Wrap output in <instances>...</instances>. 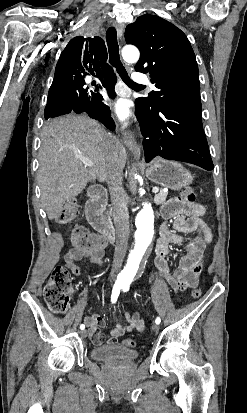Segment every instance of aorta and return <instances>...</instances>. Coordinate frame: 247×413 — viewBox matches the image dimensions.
Instances as JSON below:
<instances>
[{"label": "aorta", "mask_w": 247, "mask_h": 413, "mask_svg": "<svg viewBox=\"0 0 247 413\" xmlns=\"http://www.w3.org/2000/svg\"><path fill=\"white\" fill-rule=\"evenodd\" d=\"M123 59L128 63H135L138 61L140 53L139 50L132 45H126L122 49ZM138 177V176H137ZM136 245L131 252L124 275L129 277L134 275L141 262V259L150 244L154 233V212L150 203H143L142 210L136 217Z\"/></svg>", "instance_id": "1"}]
</instances>
